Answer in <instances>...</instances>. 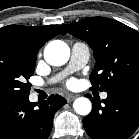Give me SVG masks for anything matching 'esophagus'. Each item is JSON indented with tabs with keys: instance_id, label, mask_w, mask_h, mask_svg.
<instances>
[{
	"instance_id": "esophagus-1",
	"label": "esophagus",
	"mask_w": 139,
	"mask_h": 139,
	"mask_svg": "<svg viewBox=\"0 0 139 139\" xmlns=\"http://www.w3.org/2000/svg\"><path fill=\"white\" fill-rule=\"evenodd\" d=\"M75 98H76V96L75 95H71V94H69V95L66 96V100L68 102H72Z\"/></svg>"
}]
</instances>
